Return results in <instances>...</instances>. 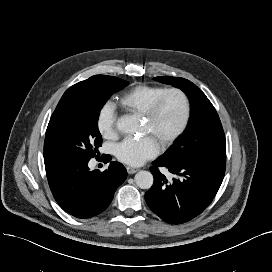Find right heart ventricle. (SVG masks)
Listing matches in <instances>:
<instances>
[{
	"instance_id": "right-heart-ventricle-1",
	"label": "right heart ventricle",
	"mask_w": 272,
	"mask_h": 272,
	"mask_svg": "<svg viewBox=\"0 0 272 272\" xmlns=\"http://www.w3.org/2000/svg\"><path fill=\"white\" fill-rule=\"evenodd\" d=\"M167 87L160 85L140 84L126 92L120 99V104L128 111L144 115L152 102L163 93Z\"/></svg>"
}]
</instances>
